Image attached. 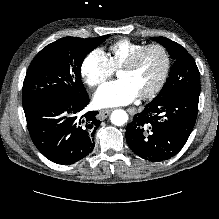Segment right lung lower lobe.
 <instances>
[{
    "label": "right lung lower lobe",
    "instance_id": "right-lung-lower-lobe-1",
    "mask_svg": "<svg viewBox=\"0 0 219 219\" xmlns=\"http://www.w3.org/2000/svg\"><path fill=\"white\" fill-rule=\"evenodd\" d=\"M89 103L83 99L51 97L24 107L27 126L33 143L49 160L72 164L87 156L94 148V136L99 121L98 112L83 109Z\"/></svg>",
    "mask_w": 219,
    "mask_h": 219
}]
</instances>
